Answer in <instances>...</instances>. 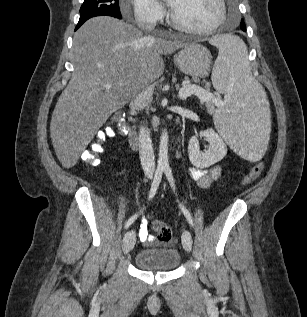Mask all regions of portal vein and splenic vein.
<instances>
[{
    "mask_svg": "<svg viewBox=\"0 0 307 317\" xmlns=\"http://www.w3.org/2000/svg\"><path fill=\"white\" fill-rule=\"evenodd\" d=\"M111 87L112 85L110 83H106L104 85L105 89H110ZM191 95H196L198 98H200L203 101H212L217 105L223 104V102L211 92L196 85H190L188 83L183 84L182 88L179 90V98L186 99L187 97Z\"/></svg>",
    "mask_w": 307,
    "mask_h": 317,
    "instance_id": "1",
    "label": "portal vein and splenic vein"
}]
</instances>
